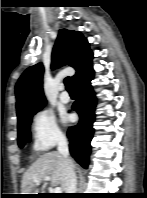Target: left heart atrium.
Returning <instances> with one entry per match:
<instances>
[{"label": "left heart atrium", "instance_id": "obj_1", "mask_svg": "<svg viewBox=\"0 0 147 198\" xmlns=\"http://www.w3.org/2000/svg\"><path fill=\"white\" fill-rule=\"evenodd\" d=\"M70 119H71V117H70V116H65V117H64V121H65V122L70 121Z\"/></svg>", "mask_w": 147, "mask_h": 198}]
</instances>
